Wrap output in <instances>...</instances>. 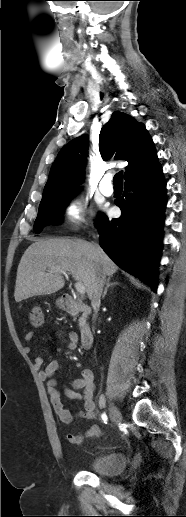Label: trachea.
<instances>
[{
  "instance_id": "trachea-1",
  "label": "trachea",
  "mask_w": 186,
  "mask_h": 517,
  "mask_svg": "<svg viewBox=\"0 0 186 517\" xmlns=\"http://www.w3.org/2000/svg\"><path fill=\"white\" fill-rule=\"evenodd\" d=\"M113 183L116 186H123V171H120L114 176Z\"/></svg>"
}]
</instances>
